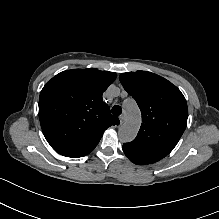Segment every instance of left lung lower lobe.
Listing matches in <instances>:
<instances>
[{
	"instance_id": "obj_1",
	"label": "left lung lower lobe",
	"mask_w": 219,
	"mask_h": 219,
	"mask_svg": "<svg viewBox=\"0 0 219 219\" xmlns=\"http://www.w3.org/2000/svg\"><path fill=\"white\" fill-rule=\"evenodd\" d=\"M126 156H127V157L130 159V161H132L133 163H135V164H139V165H144V164L138 162L137 160L133 159V158L130 157L129 155H126Z\"/></svg>"
}]
</instances>
